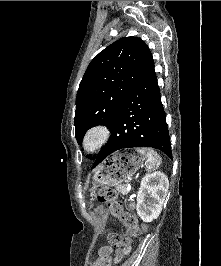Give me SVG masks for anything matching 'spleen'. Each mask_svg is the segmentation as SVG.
Instances as JSON below:
<instances>
[{"label":"spleen","instance_id":"3e777b00","mask_svg":"<svg viewBox=\"0 0 221 266\" xmlns=\"http://www.w3.org/2000/svg\"><path fill=\"white\" fill-rule=\"evenodd\" d=\"M138 151L146 157V169L152 171L157 169L161 164L160 156L153 149H138Z\"/></svg>","mask_w":221,"mask_h":266}]
</instances>
